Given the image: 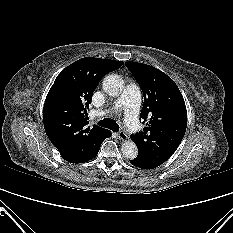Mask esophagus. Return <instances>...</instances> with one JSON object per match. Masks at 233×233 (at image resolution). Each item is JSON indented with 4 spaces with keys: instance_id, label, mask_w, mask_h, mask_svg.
Returning a JSON list of instances; mask_svg holds the SVG:
<instances>
[{
    "instance_id": "esophagus-1",
    "label": "esophagus",
    "mask_w": 233,
    "mask_h": 233,
    "mask_svg": "<svg viewBox=\"0 0 233 233\" xmlns=\"http://www.w3.org/2000/svg\"><path fill=\"white\" fill-rule=\"evenodd\" d=\"M117 137L119 140H122V141H125L128 139L127 134L123 131L118 132Z\"/></svg>"
}]
</instances>
